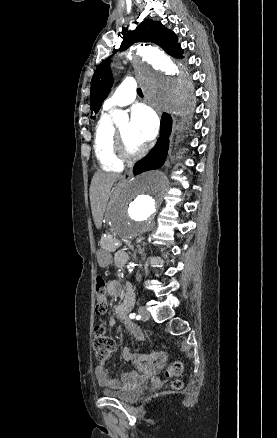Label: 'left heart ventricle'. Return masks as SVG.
Masks as SVG:
<instances>
[{"label": "left heart ventricle", "mask_w": 277, "mask_h": 438, "mask_svg": "<svg viewBox=\"0 0 277 438\" xmlns=\"http://www.w3.org/2000/svg\"><path fill=\"white\" fill-rule=\"evenodd\" d=\"M118 130L125 140V144L129 153L133 155L139 153L140 147L132 134L131 124L129 122L124 123L118 127Z\"/></svg>", "instance_id": "obj_1"}]
</instances>
